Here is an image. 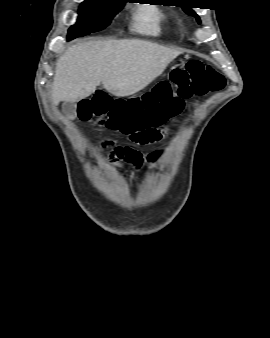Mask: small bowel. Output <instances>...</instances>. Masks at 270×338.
<instances>
[{"label":"small bowel","instance_id":"obj_1","mask_svg":"<svg viewBox=\"0 0 270 338\" xmlns=\"http://www.w3.org/2000/svg\"><path fill=\"white\" fill-rule=\"evenodd\" d=\"M100 143L103 145H112L109 140H101ZM112 152L110 155V162L116 163L118 161H123L127 159V153L129 151L128 147L125 146H111Z\"/></svg>","mask_w":270,"mask_h":338}]
</instances>
